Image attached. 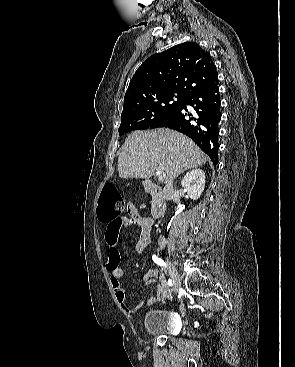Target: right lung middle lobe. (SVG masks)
Instances as JSON below:
<instances>
[{"label": "right lung middle lobe", "mask_w": 295, "mask_h": 367, "mask_svg": "<svg viewBox=\"0 0 295 367\" xmlns=\"http://www.w3.org/2000/svg\"><path fill=\"white\" fill-rule=\"evenodd\" d=\"M185 99L186 96L183 95L163 94L131 103L122 112L119 135L132 130L149 128L158 120L179 109Z\"/></svg>", "instance_id": "dd1d6c3e"}]
</instances>
